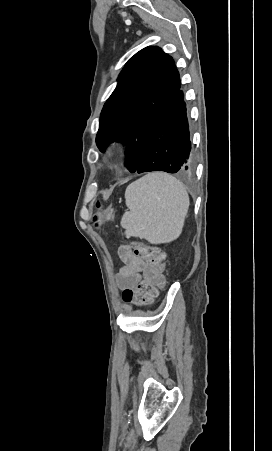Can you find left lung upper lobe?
<instances>
[{"instance_id":"obj_1","label":"left lung upper lobe","mask_w":272,"mask_h":451,"mask_svg":"<svg viewBox=\"0 0 272 451\" xmlns=\"http://www.w3.org/2000/svg\"><path fill=\"white\" fill-rule=\"evenodd\" d=\"M180 87L172 57L159 47L140 50L123 68L102 109L98 148L105 151L115 140L125 143L129 155L126 167L136 172L161 113Z\"/></svg>"}]
</instances>
